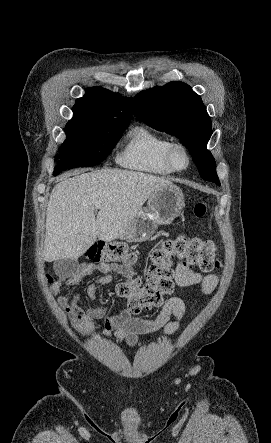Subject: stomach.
<instances>
[{"instance_id":"0dacf381","label":"stomach","mask_w":271,"mask_h":443,"mask_svg":"<svg viewBox=\"0 0 271 443\" xmlns=\"http://www.w3.org/2000/svg\"><path fill=\"white\" fill-rule=\"evenodd\" d=\"M184 208V196L178 186H162L153 192L145 212H140L130 222L126 233L120 239L146 241L155 233L158 225L171 223L180 216Z\"/></svg>"}]
</instances>
